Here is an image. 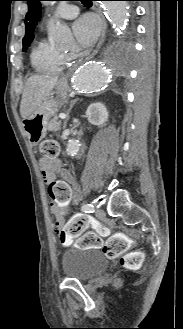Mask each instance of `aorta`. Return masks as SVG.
Returning <instances> with one entry per match:
<instances>
[{
    "mask_svg": "<svg viewBox=\"0 0 183 329\" xmlns=\"http://www.w3.org/2000/svg\"><path fill=\"white\" fill-rule=\"evenodd\" d=\"M102 7L107 17L118 32H125L128 27L129 6L126 1H104ZM49 37L60 47H68L72 42L70 29L63 23L53 22L49 25ZM112 68L106 60L102 62H91L81 66L73 76V85L79 91L92 93L101 91L106 85L109 73L106 69ZM79 142L70 138L67 142V153L76 155Z\"/></svg>",
    "mask_w": 183,
    "mask_h": 329,
    "instance_id": "1",
    "label": "aorta"
}]
</instances>
